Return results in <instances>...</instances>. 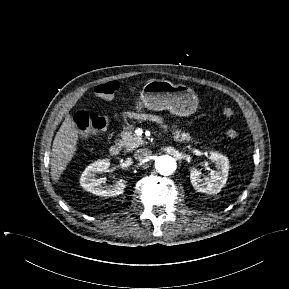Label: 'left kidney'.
I'll use <instances>...</instances> for the list:
<instances>
[{
  "mask_svg": "<svg viewBox=\"0 0 289 289\" xmlns=\"http://www.w3.org/2000/svg\"><path fill=\"white\" fill-rule=\"evenodd\" d=\"M210 159L215 162L217 171L211 170L210 177L202 178L201 172L195 168L190 170V180L194 189L201 193L217 194L227 181L229 161L226 156L217 152L210 153Z\"/></svg>",
  "mask_w": 289,
  "mask_h": 289,
  "instance_id": "obj_1",
  "label": "left kidney"
}]
</instances>
